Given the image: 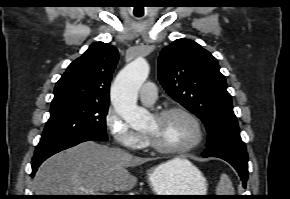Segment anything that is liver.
I'll use <instances>...</instances> for the list:
<instances>
[{
	"label": "liver",
	"instance_id": "6515ba94",
	"mask_svg": "<svg viewBox=\"0 0 290 199\" xmlns=\"http://www.w3.org/2000/svg\"><path fill=\"white\" fill-rule=\"evenodd\" d=\"M150 158L133 156L119 148L86 141L48 158L34 178L36 195H92L129 191L137 183L128 167L141 165ZM188 160L166 162L177 166Z\"/></svg>",
	"mask_w": 290,
	"mask_h": 199
}]
</instances>
